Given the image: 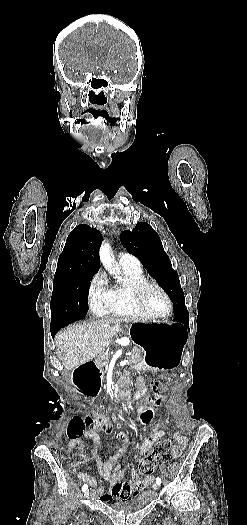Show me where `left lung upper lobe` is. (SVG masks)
<instances>
[{
	"mask_svg": "<svg viewBox=\"0 0 247 525\" xmlns=\"http://www.w3.org/2000/svg\"><path fill=\"white\" fill-rule=\"evenodd\" d=\"M120 239L128 252L141 261L149 274L168 293L174 305L175 318L189 319L178 274L172 268L157 232L148 223L140 222L132 231H123Z\"/></svg>",
	"mask_w": 247,
	"mask_h": 525,
	"instance_id": "1",
	"label": "left lung upper lobe"
}]
</instances>
